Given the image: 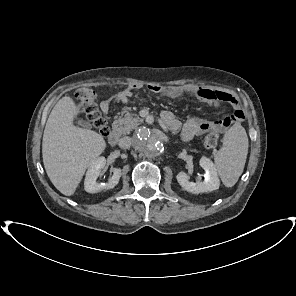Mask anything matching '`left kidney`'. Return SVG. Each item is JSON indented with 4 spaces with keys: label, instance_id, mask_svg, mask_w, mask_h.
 Here are the masks:
<instances>
[{
    "label": "left kidney",
    "instance_id": "5707ae66",
    "mask_svg": "<svg viewBox=\"0 0 296 296\" xmlns=\"http://www.w3.org/2000/svg\"><path fill=\"white\" fill-rule=\"evenodd\" d=\"M200 166L205 170V180L203 182H190L188 175L181 171L176 178L180 186L188 192L197 194L203 192H211L219 189L220 180L218 178L217 169L214 163L207 157L200 159Z\"/></svg>",
    "mask_w": 296,
    "mask_h": 296
}]
</instances>
